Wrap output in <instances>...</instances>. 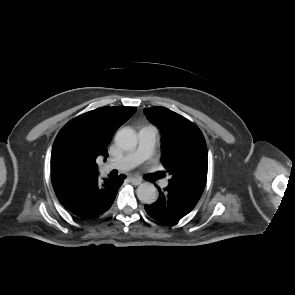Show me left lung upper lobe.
Wrapping results in <instances>:
<instances>
[{
	"mask_svg": "<svg viewBox=\"0 0 295 295\" xmlns=\"http://www.w3.org/2000/svg\"><path fill=\"white\" fill-rule=\"evenodd\" d=\"M143 112L160 130L161 163L171 175L169 183L203 191L207 180L208 159L206 141L200 129L165 107L145 108Z\"/></svg>",
	"mask_w": 295,
	"mask_h": 295,
	"instance_id": "5c2ea615",
	"label": "left lung upper lobe"
}]
</instances>
